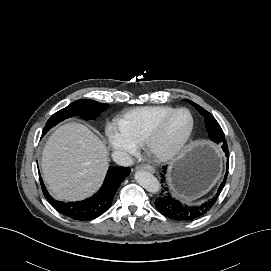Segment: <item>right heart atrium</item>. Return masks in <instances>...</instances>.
<instances>
[{
  "label": "right heart atrium",
  "instance_id": "1",
  "mask_svg": "<svg viewBox=\"0 0 271 271\" xmlns=\"http://www.w3.org/2000/svg\"><path fill=\"white\" fill-rule=\"evenodd\" d=\"M106 138L113 150L124 155H133L137 151V145L129 140L119 127L109 126L106 129Z\"/></svg>",
  "mask_w": 271,
  "mask_h": 271
}]
</instances>
